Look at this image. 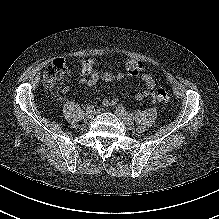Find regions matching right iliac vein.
I'll return each instance as SVG.
<instances>
[{"instance_id":"right-iliac-vein-1","label":"right iliac vein","mask_w":219,"mask_h":219,"mask_svg":"<svg viewBox=\"0 0 219 219\" xmlns=\"http://www.w3.org/2000/svg\"><path fill=\"white\" fill-rule=\"evenodd\" d=\"M95 116L94 112H86L85 117L87 119H93Z\"/></svg>"}]
</instances>
